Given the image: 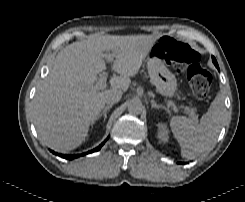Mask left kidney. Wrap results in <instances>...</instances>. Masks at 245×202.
<instances>
[{
  "instance_id": "1",
  "label": "left kidney",
  "mask_w": 245,
  "mask_h": 202,
  "mask_svg": "<svg viewBox=\"0 0 245 202\" xmlns=\"http://www.w3.org/2000/svg\"><path fill=\"white\" fill-rule=\"evenodd\" d=\"M168 128L165 124L159 123L158 124V138L161 142L166 143L168 142L169 136H168Z\"/></svg>"
}]
</instances>
